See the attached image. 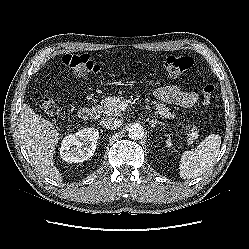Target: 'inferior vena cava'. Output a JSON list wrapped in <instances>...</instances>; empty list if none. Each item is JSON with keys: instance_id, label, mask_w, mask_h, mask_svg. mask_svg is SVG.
<instances>
[{"instance_id": "obj_1", "label": "inferior vena cava", "mask_w": 249, "mask_h": 249, "mask_svg": "<svg viewBox=\"0 0 249 249\" xmlns=\"http://www.w3.org/2000/svg\"><path fill=\"white\" fill-rule=\"evenodd\" d=\"M100 124L107 129H117L121 126V121L114 118L103 119Z\"/></svg>"}]
</instances>
